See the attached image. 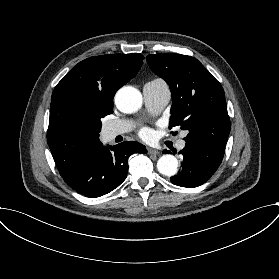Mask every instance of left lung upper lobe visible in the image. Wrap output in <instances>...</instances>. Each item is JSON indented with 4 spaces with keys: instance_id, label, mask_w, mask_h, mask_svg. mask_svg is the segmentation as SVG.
Wrapping results in <instances>:
<instances>
[{
    "instance_id": "1",
    "label": "left lung upper lobe",
    "mask_w": 279,
    "mask_h": 279,
    "mask_svg": "<svg viewBox=\"0 0 279 279\" xmlns=\"http://www.w3.org/2000/svg\"><path fill=\"white\" fill-rule=\"evenodd\" d=\"M146 60L171 89L169 128L187 130L186 142L207 141L225 147L230 119L223 88L214 76L191 56L159 53Z\"/></svg>"
}]
</instances>
